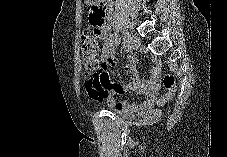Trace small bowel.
Returning <instances> with one entry per match:
<instances>
[{"mask_svg": "<svg viewBox=\"0 0 227 157\" xmlns=\"http://www.w3.org/2000/svg\"><path fill=\"white\" fill-rule=\"evenodd\" d=\"M103 39L100 51V63L103 69L113 67L117 64L115 56V45L117 38L108 32H99ZM125 71L129 76V88H133L146 95L140 104L117 101L116 95L123 94L126 87L113 82L107 72H102L100 80L96 84L85 83L88 95L95 101H105L110 107L126 112H135L141 109H148L154 105L158 90L160 88L159 64L156 62L149 79L140 78L134 58H130L125 65Z\"/></svg>", "mask_w": 227, "mask_h": 157, "instance_id": "small-bowel-1", "label": "small bowel"}]
</instances>
